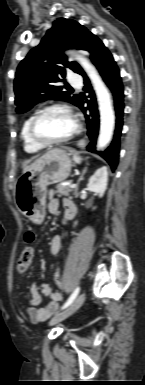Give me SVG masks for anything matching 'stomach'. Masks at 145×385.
<instances>
[{"label":"stomach","mask_w":145,"mask_h":385,"mask_svg":"<svg viewBox=\"0 0 145 385\" xmlns=\"http://www.w3.org/2000/svg\"><path fill=\"white\" fill-rule=\"evenodd\" d=\"M72 161L61 148L47 151L17 180L14 199L18 210L36 224L45 218L47 186L68 178Z\"/></svg>","instance_id":"1"}]
</instances>
